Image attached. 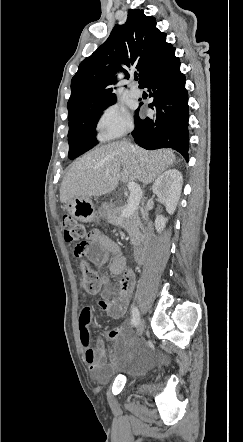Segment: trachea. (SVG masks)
<instances>
[{
	"mask_svg": "<svg viewBox=\"0 0 243 442\" xmlns=\"http://www.w3.org/2000/svg\"><path fill=\"white\" fill-rule=\"evenodd\" d=\"M135 80H138V77H137V76H135Z\"/></svg>",
	"mask_w": 243,
	"mask_h": 442,
	"instance_id": "obj_1",
	"label": "trachea"
}]
</instances>
